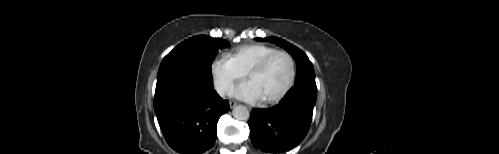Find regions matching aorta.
I'll use <instances>...</instances> for the list:
<instances>
[{"label": "aorta", "instance_id": "1", "mask_svg": "<svg viewBox=\"0 0 499 154\" xmlns=\"http://www.w3.org/2000/svg\"><path fill=\"white\" fill-rule=\"evenodd\" d=\"M233 117L237 120H248L250 117L249 110L243 106L238 105L233 109Z\"/></svg>", "mask_w": 499, "mask_h": 154}]
</instances>
